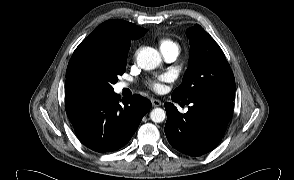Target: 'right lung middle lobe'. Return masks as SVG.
<instances>
[{
	"mask_svg": "<svg viewBox=\"0 0 294 180\" xmlns=\"http://www.w3.org/2000/svg\"><path fill=\"white\" fill-rule=\"evenodd\" d=\"M127 51L111 45L75 50L67 67L65 97L113 92L126 69Z\"/></svg>",
	"mask_w": 294,
	"mask_h": 180,
	"instance_id": "obj_1",
	"label": "right lung middle lobe"
}]
</instances>
